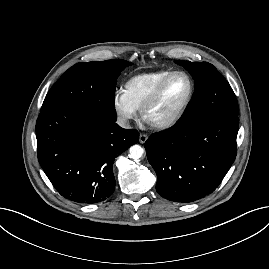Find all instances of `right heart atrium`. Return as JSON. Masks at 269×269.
Returning <instances> with one entry per match:
<instances>
[{
  "label": "right heart atrium",
  "mask_w": 269,
  "mask_h": 269,
  "mask_svg": "<svg viewBox=\"0 0 269 269\" xmlns=\"http://www.w3.org/2000/svg\"><path fill=\"white\" fill-rule=\"evenodd\" d=\"M113 108L122 123H128L136 116L135 108L130 104L123 91H116L113 95Z\"/></svg>",
  "instance_id": "right-heart-atrium-1"
}]
</instances>
